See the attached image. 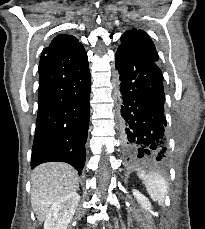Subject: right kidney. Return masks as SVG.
I'll use <instances>...</instances> for the list:
<instances>
[{"mask_svg": "<svg viewBox=\"0 0 205 229\" xmlns=\"http://www.w3.org/2000/svg\"><path fill=\"white\" fill-rule=\"evenodd\" d=\"M79 201L80 195L71 193L54 202L47 213L44 229H67Z\"/></svg>", "mask_w": 205, "mask_h": 229, "instance_id": "right-kidney-1", "label": "right kidney"}]
</instances>
